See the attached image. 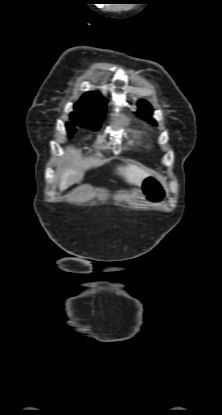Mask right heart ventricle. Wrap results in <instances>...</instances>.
<instances>
[{"label": "right heart ventricle", "instance_id": "e07e8e85", "mask_svg": "<svg viewBox=\"0 0 222 415\" xmlns=\"http://www.w3.org/2000/svg\"><path fill=\"white\" fill-rule=\"evenodd\" d=\"M122 123L125 124V125L128 124L127 119L122 120Z\"/></svg>", "mask_w": 222, "mask_h": 415}]
</instances>
